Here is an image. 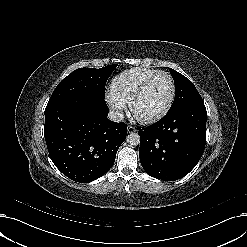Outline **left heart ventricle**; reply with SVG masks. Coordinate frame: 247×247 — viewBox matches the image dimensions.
Instances as JSON below:
<instances>
[{
  "mask_svg": "<svg viewBox=\"0 0 247 247\" xmlns=\"http://www.w3.org/2000/svg\"><path fill=\"white\" fill-rule=\"evenodd\" d=\"M170 93V82L167 77L156 78L143 92L137 101L135 110L140 115H149L160 110Z\"/></svg>",
  "mask_w": 247,
  "mask_h": 247,
  "instance_id": "obj_1",
  "label": "left heart ventricle"
}]
</instances>
